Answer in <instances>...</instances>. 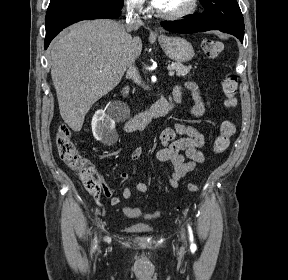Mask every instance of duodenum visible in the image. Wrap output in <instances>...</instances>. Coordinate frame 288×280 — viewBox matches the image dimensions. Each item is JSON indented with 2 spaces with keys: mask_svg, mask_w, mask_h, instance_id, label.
I'll use <instances>...</instances> for the list:
<instances>
[{
  "mask_svg": "<svg viewBox=\"0 0 288 280\" xmlns=\"http://www.w3.org/2000/svg\"><path fill=\"white\" fill-rule=\"evenodd\" d=\"M126 95H127V88L125 87L122 89V96L126 97ZM178 103L179 101L176 99H174L173 102H170L167 99H160L148 110L129 117L124 122V128L127 131L143 130L153 120L166 116L169 112H171L175 108V106Z\"/></svg>",
  "mask_w": 288,
  "mask_h": 280,
  "instance_id": "1",
  "label": "duodenum"
}]
</instances>
